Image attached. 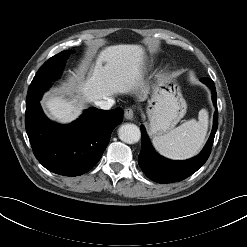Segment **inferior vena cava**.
<instances>
[{"instance_id":"inferior-vena-cava-1","label":"inferior vena cava","mask_w":247,"mask_h":247,"mask_svg":"<svg viewBox=\"0 0 247 247\" xmlns=\"http://www.w3.org/2000/svg\"><path fill=\"white\" fill-rule=\"evenodd\" d=\"M95 104L99 106L101 109L108 110L113 106L114 100L107 99V100L96 101Z\"/></svg>"}]
</instances>
